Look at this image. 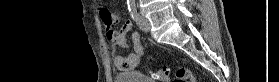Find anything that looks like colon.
Masks as SVG:
<instances>
[{
  "label": "colon",
  "mask_w": 279,
  "mask_h": 82,
  "mask_svg": "<svg viewBox=\"0 0 279 82\" xmlns=\"http://www.w3.org/2000/svg\"><path fill=\"white\" fill-rule=\"evenodd\" d=\"M100 17L104 23L106 28H112L114 25V20L111 17V14L106 8H102L100 10ZM169 69L163 67L158 70H154L151 72V76L154 81L156 82H166L169 77ZM193 81V74L189 69L181 68L176 73L175 82H192Z\"/></svg>",
  "instance_id": "5ec220e1"
}]
</instances>
